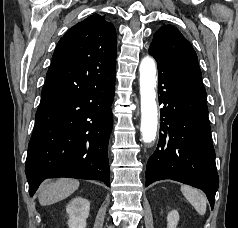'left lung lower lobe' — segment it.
Wrapping results in <instances>:
<instances>
[{"mask_svg": "<svg viewBox=\"0 0 238 228\" xmlns=\"http://www.w3.org/2000/svg\"><path fill=\"white\" fill-rule=\"evenodd\" d=\"M160 137L146 168L147 187L172 179L203 190L213 209L219 177L215 164L206 92L157 63Z\"/></svg>", "mask_w": 238, "mask_h": 228, "instance_id": "1", "label": "left lung lower lobe"}]
</instances>
